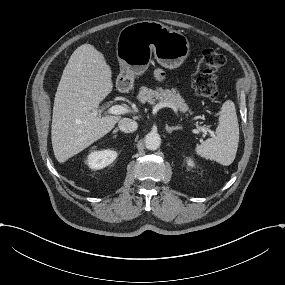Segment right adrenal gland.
<instances>
[{"mask_svg":"<svg viewBox=\"0 0 285 285\" xmlns=\"http://www.w3.org/2000/svg\"><path fill=\"white\" fill-rule=\"evenodd\" d=\"M119 131H120L119 128H115V129L112 131V134L114 135V134L118 133Z\"/></svg>","mask_w":285,"mask_h":285,"instance_id":"right-adrenal-gland-1","label":"right adrenal gland"}]
</instances>
